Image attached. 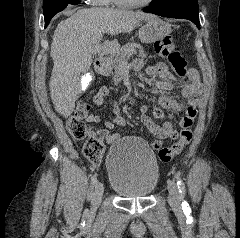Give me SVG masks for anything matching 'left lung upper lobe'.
<instances>
[{
  "mask_svg": "<svg viewBox=\"0 0 240 238\" xmlns=\"http://www.w3.org/2000/svg\"><path fill=\"white\" fill-rule=\"evenodd\" d=\"M169 1H174V0H152L149 7H156V6L162 5ZM195 1H197V0H195Z\"/></svg>",
  "mask_w": 240,
  "mask_h": 238,
  "instance_id": "left-lung-upper-lobe-1",
  "label": "left lung upper lobe"
}]
</instances>
